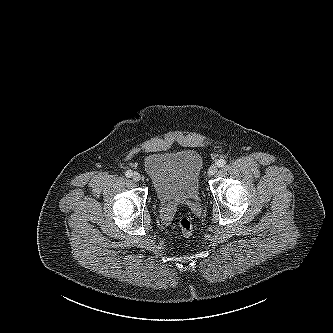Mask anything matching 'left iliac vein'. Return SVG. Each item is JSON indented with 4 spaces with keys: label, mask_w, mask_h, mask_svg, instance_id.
<instances>
[{
    "label": "left iliac vein",
    "mask_w": 333,
    "mask_h": 333,
    "mask_svg": "<svg viewBox=\"0 0 333 333\" xmlns=\"http://www.w3.org/2000/svg\"><path fill=\"white\" fill-rule=\"evenodd\" d=\"M217 171H218V166L213 164L210 166V168L208 170V175L213 176Z\"/></svg>",
    "instance_id": "1"
}]
</instances>
